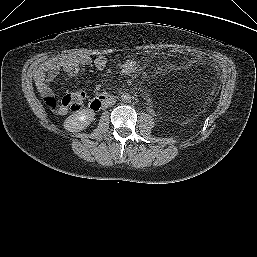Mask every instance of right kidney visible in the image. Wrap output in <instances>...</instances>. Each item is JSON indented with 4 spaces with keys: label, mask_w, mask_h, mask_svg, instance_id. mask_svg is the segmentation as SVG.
I'll return each instance as SVG.
<instances>
[{
    "label": "right kidney",
    "mask_w": 257,
    "mask_h": 257,
    "mask_svg": "<svg viewBox=\"0 0 257 257\" xmlns=\"http://www.w3.org/2000/svg\"><path fill=\"white\" fill-rule=\"evenodd\" d=\"M94 112L88 108L71 114L64 122V128L69 132H79L88 127L94 119Z\"/></svg>",
    "instance_id": "right-kidney-1"
}]
</instances>
